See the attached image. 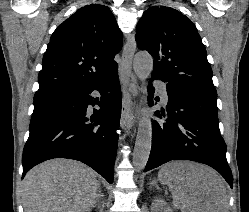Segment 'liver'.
Listing matches in <instances>:
<instances>
[{
  "mask_svg": "<svg viewBox=\"0 0 249 212\" xmlns=\"http://www.w3.org/2000/svg\"><path fill=\"white\" fill-rule=\"evenodd\" d=\"M181 212H228L223 180L213 168L196 162H171L158 174ZM97 174L74 160H48L22 182L24 212H91L98 198Z\"/></svg>",
  "mask_w": 249,
  "mask_h": 212,
  "instance_id": "6515ba94",
  "label": "liver"
}]
</instances>
